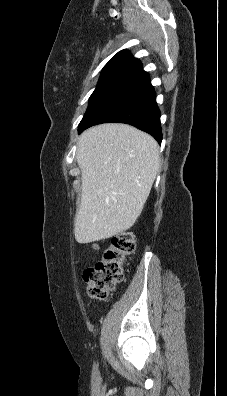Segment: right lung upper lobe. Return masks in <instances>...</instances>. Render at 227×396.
<instances>
[{
    "label": "right lung upper lobe",
    "instance_id": "right-lung-upper-lobe-1",
    "mask_svg": "<svg viewBox=\"0 0 227 396\" xmlns=\"http://www.w3.org/2000/svg\"><path fill=\"white\" fill-rule=\"evenodd\" d=\"M142 68L141 62L132 57L131 53L127 50H122L118 52L111 60L105 65L103 71L111 70H129L136 72Z\"/></svg>",
    "mask_w": 227,
    "mask_h": 396
}]
</instances>
